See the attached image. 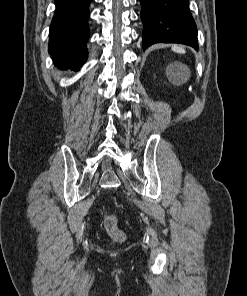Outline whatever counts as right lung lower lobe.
Masks as SVG:
<instances>
[{
	"label": "right lung lower lobe",
	"instance_id": "98d812e1",
	"mask_svg": "<svg viewBox=\"0 0 247 296\" xmlns=\"http://www.w3.org/2000/svg\"><path fill=\"white\" fill-rule=\"evenodd\" d=\"M92 0H55L49 53L60 68H79L87 58L89 4Z\"/></svg>",
	"mask_w": 247,
	"mask_h": 296
}]
</instances>
